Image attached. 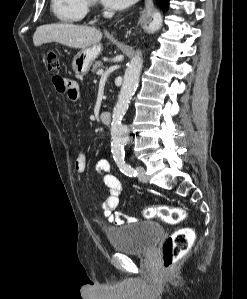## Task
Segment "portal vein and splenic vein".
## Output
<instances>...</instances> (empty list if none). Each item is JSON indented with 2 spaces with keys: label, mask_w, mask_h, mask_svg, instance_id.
Instances as JSON below:
<instances>
[{
  "label": "portal vein and splenic vein",
  "mask_w": 247,
  "mask_h": 299,
  "mask_svg": "<svg viewBox=\"0 0 247 299\" xmlns=\"http://www.w3.org/2000/svg\"><path fill=\"white\" fill-rule=\"evenodd\" d=\"M97 74H98V75H102V74H103V70H99V71L97 72Z\"/></svg>",
  "instance_id": "1"
}]
</instances>
